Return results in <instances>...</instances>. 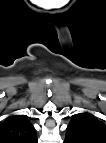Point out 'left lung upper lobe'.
Segmentation results:
<instances>
[{"label":"left lung upper lobe","instance_id":"obj_1","mask_svg":"<svg viewBox=\"0 0 106 143\" xmlns=\"http://www.w3.org/2000/svg\"><path fill=\"white\" fill-rule=\"evenodd\" d=\"M66 134L75 143H106V124L90 113H78L73 115Z\"/></svg>","mask_w":106,"mask_h":143}]
</instances>
